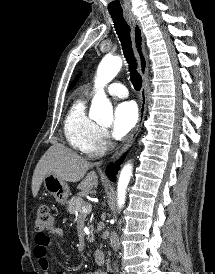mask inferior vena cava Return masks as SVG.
Returning a JSON list of instances; mask_svg holds the SVG:
<instances>
[{"instance_id":"602c4592","label":"inferior vena cava","mask_w":215,"mask_h":274,"mask_svg":"<svg viewBox=\"0 0 215 274\" xmlns=\"http://www.w3.org/2000/svg\"><path fill=\"white\" fill-rule=\"evenodd\" d=\"M114 148V145L113 144H110L109 145V149H113ZM96 165H99V164H101V162H97V163H95Z\"/></svg>"}]
</instances>
